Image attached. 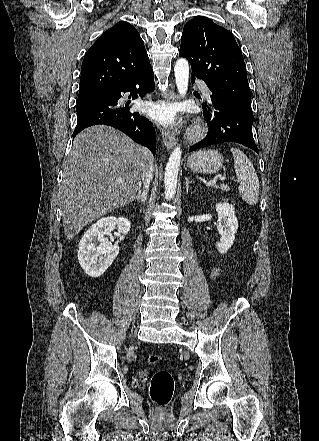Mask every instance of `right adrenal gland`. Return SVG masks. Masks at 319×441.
<instances>
[{
    "label": "right adrenal gland",
    "mask_w": 319,
    "mask_h": 441,
    "mask_svg": "<svg viewBox=\"0 0 319 441\" xmlns=\"http://www.w3.org/2000/svg\"><path fill=\"white\" fill-rule=\"evenodd\" d=\"M136 200L137 202L144 204L147 200V191L145 188L142 190L139 188L138 194L133 198V201Z\"/></svg>",
    "instance_id": "1"
}]
</instances>
